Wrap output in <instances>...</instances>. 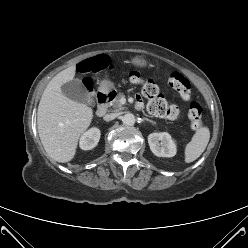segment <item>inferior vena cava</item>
Wrapping results in <instances>:
<instances>
[{"label": "inferior vena cava", "mask_w": 248, "mask_h": 248, "mask_svg": "<svg viewBox=\"0 0 248 248\" xmlns=\"http://www.w3.org/2000/svg\"><path fill=\"white\" fill-rule=\"evenodd\" d=\"M118 117V114L117 113H109V114H106L103 119L105 121H111V120H114L115 118Z\"/></svg>", "instance_id": "obj_1"}]
</instances>
